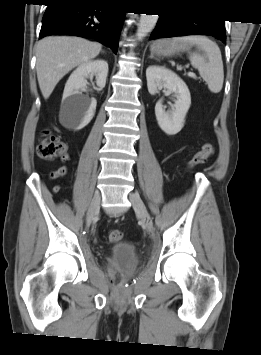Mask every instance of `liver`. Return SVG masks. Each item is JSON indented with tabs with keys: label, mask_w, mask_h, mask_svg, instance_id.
I'll use <instances>...</instances> for the list:
<instances>
[{
	"label": "liver",
	"mask_w": 261,
	"mask_h": 355,
	"mask_svg": "<svg viewBox=\"0 0 261 355\" xmlns=\"http://www.w3.org/2000/svg\"><path fill=\"white\" fill-rule=\"evenodd\" d=\"M102 45L79 37L50 36L37 45L36 71L41 93L48 99L73 68L98 56Z\"/></svg>",
	"instance_id": "obj_1"
}]
</instances>
